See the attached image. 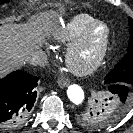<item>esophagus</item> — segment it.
Returning <instances> with one entry per match:
<instances>
[{"mask_svg": "<svg viewBox=\"0 0 133 133\" xmlns=\"http://www.w3.org/2000/svg\"><path fill=\"white\" fill-rule=\"evenodd\" d=\"M58 83V86L61 87V88H64V87H67L70 83V81L66 78H59V80L57 81Z\"/></svg>", "mask_w": 133, "mask_h": 133, "instance_id": "obj_1", "label": "esophagus"}]
</instances>
